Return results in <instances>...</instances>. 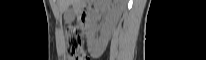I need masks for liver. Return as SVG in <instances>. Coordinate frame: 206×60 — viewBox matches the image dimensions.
Listing matches in <instances>:
<instances>
[{
	"label": "liver",
	"mask_w": 206,
	"mask_h": 60,
	"mask_svg": "<svg viewBox=\"0 0 206 60\" xmlns=\"http://www.w3.org/2000/svg\"><path fill=\"white\" fill-rule=\"evenodd\" d=\"M74 2H76V0H57V4L61 12L66 11ZM108 2L110 3L111 1ZM113 2L114 6L112 8L111 15L114 22L117 23L126 4V0H114Z\"/></svg>",
	"instance_id": "1"
}]
</instances>
